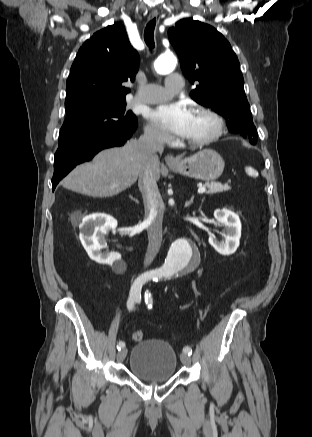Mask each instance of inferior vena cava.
I'll list each match as a JSON object with an SVG mask.
<instances>
[{"instance_id": "602c4592", "label": "inferior vena cava", "mask_w": 312, "mask_h": 437, "mask_svg": "<svg viewBox=\"0 0 312 437\" xmlns=\"http://www.w3.org/2000/svg\"><path fill=\"white\" fill-rule=\"evenodd\" d=\"M140 153L145 161L143 173L139 176L138 186L143 197L145 221L148 224V247L144 266L152 263L159 252L162 242V220L164 203L158 190L155 167L158 162L157 152L162 153L164 142L157 130H146L139 138Z\"/></svg>"}]
</instances>
